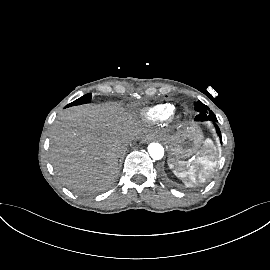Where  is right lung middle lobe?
I'll return each instance as SVG.
<instances>
[{
  "instance_id": "obj_1",
  "label": "right lung middle lobe",
  "mask_w": 270,
  "mask_h": 270,
  "mask_svg": "<svg viewBox=\"0 0 270 270\" xmlns=\"http://www.w3.org/2000/svg\"><path fill=\"white\" fill-rule=\"evenodd\" d=\"M89 102H91V93L82 96L81 98H79V99L75 100L74 102L68 104L66 107L85 104V103H89Z\"/></svg>"
}]
</instances>
